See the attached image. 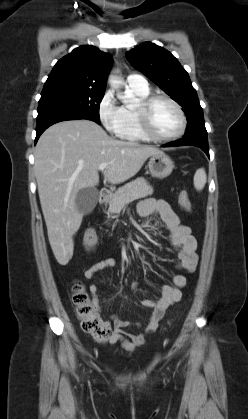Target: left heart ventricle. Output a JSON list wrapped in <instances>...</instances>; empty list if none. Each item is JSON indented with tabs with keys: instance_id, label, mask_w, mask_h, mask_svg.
I'll use <instances>...</instances> for the list:
<instances>
[{
	"instance_id": "obj_1",
	"label": "left heart ventricle",
	"mask_w": 248,
	"mask_h": 419,
	"mask_svg": "<svg viewBox=\"0 0 248 419\" xmlns=\"http://www.w3.org/2000/svg\"><path fill=\"white\" fill-rule=\"evenodd\" d=\"M149 119L152 130L159 136H170L180 127L178 112L165 100H158L151 106Z\"/></svg>"
}]
</instances>
